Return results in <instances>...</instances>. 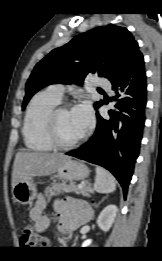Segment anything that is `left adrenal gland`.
<instances>
[{"label":"left adrenal gland","mask_w":162,"mask_h":261,"mask_svg":"<svg viewBox=\"0 0 162 261\" xmlns=\"http://www.w3.org/2000/svg\"><path fill=\"white\" fill-rule=\"evenodd\" d=\"M104 199H105V197L100 202H102ZM100 202L98 204H100ZM98 204H96L95 206H97Z\"/></svg>","instance_id":"1"}]
</instances>
